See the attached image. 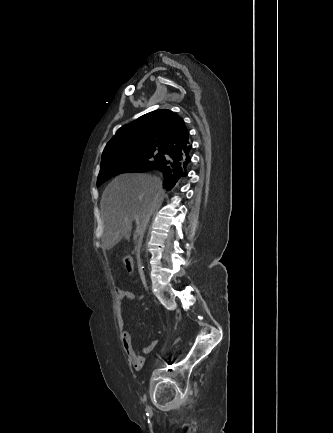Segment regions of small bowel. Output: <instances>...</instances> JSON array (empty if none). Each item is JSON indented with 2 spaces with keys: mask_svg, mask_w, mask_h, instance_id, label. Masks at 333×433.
Listing matches in <instances>:
<instances>
[{
  "mask_svg": "<svg viewBox=\"0 0 333 433\" xmlns=\"http://www.w3.org/2000/svg\"><path fill=\"white\" fill-rule=\"evenodd\" d=\"M116 296L120 302H122L123 300H134L140 298V296L137 295L135 292L123 289H118L116 291ZM118 323L121 328V342L128 357V360L135 369H141L145 362V357L144 355H141L135 351L132 336L125 328L126 319L123 316L122 311L120 312V315L118 317ZM157 344L158 340H153L148 346L143 349V353H150L157 346Z\"/></svg>",
  "mask_w": 333,
  "mask_h": 433,
  "instance_id": "obj_1",
  "label": "small bowel"
}]
</instances>
